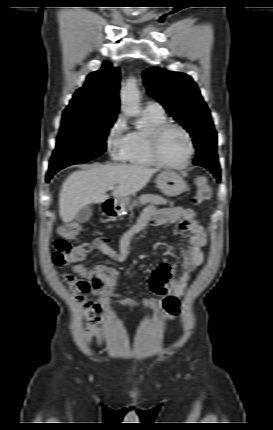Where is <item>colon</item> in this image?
<instances>
[{
    "label": "colon",
    "instance_id": "1",
    "mask_svg": "<svg viewBox=\"0 0 273 430\" xmlns=\"http://www.w3.org/2000/svg\"><path fill=\"white\" fill-rule=\"evenodd\" d=\"M195 183L197 192L192 197L191 202L194 205H200L210 197L211 190L208 185V180L204 176L197 177ZM79 230L80 227L75 222L65 224L60 228L61 238L56 240L52 255L53 263L56 266L62 267L82 261L91 251V246L88 243L76 244L73 242ZM62 278L76 292L77 299L81 304L86 319L88 321L93 320L95 315L100 311V306L93 299L88 297V293L91 291L84 285L82 276L62 273Z\"/></svg>",
    "mask_w": 273,
    "mask_h": 430
}]
</instances>
